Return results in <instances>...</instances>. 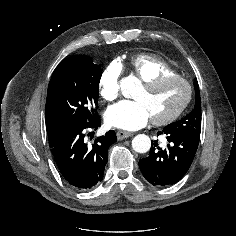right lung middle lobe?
I'll use <instances>...</instances> for the list:
<instances>
[{"label":"right lung middle lobe","instance_id":"dd1d6c3e","mask_svg":"<svg viewBox=\"0 0 236 236\" xmlns=\"http://www.w3.org/2000/svg\"><path fill=\"white\" fill-rule=\"evenodd\" d=\"M101 75L100 66L86 55L66 58L55 69L48 86L46 112L62 129L86 124L98 116Z\"/></svg>","mask_w":236,"mask_h":236}]
</instances>
